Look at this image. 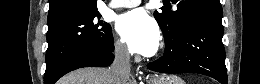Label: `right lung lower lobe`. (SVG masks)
<instances>
[{"mask_svg":"<svg viewBox=\"0 0 260 84\" xmlns=\"http://www.w3.org/2000/svg\"><path fill=\"white\" fill-rule=\"evenodd\" d=\"M113 50L114 45L110 51L97 49L75 51L65 56L52 69L45 71L44 84H54L60 77L78 68L109 66L114 60V56L111 53Z\"/></svg>","mask_w":260,"mask_h":84,"instance_id":"1","label":"right lung lower lobe"}]
</instances>
